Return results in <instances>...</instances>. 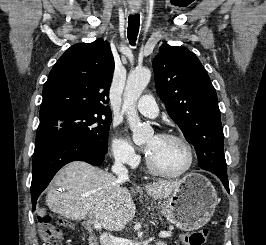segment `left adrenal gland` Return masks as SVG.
<instances>
[{"label": "left adrenal gland", "mask_w": 266, "mask_h": 245, "mask_svg": "<svg viewBox=\"0 0 266 245\" xmlns=\"http://www.w3.org/2000/svg\"><path fill=\"white\" fill-rule=\"evenodd\" d=\"M156 245H166V243H163V241H159V243H156Z\"/></svg>", "instance_id": "1"}]
</instances>
